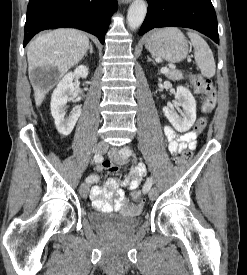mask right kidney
<instances>
[{"label": "right kidney", "mask_w": 247, "mask_h": 275, "mask_svg": "<svg viewBox=\"0 0 247 275\" xmlns=\"http://www.w3.org/2000/svg\"><path fill=\"white\" fill-rule=\"evenodd\" d=\"M87 76L88 68L84 65H80L74 70V72L66 74L52 93L51 114L54 118L58 132L63 136H68L72 132L81 115V106L77 105L72 109L71 115L65 117L66 104L73 100L75 91L73 79L75 77L86 78Z\"/></svg>", "instance_id": "right-kidney-1"}]
</instances>
